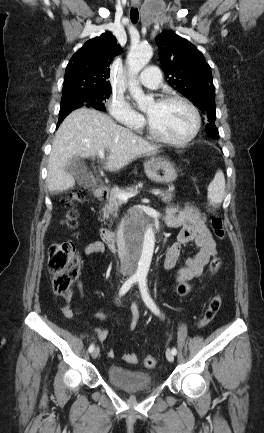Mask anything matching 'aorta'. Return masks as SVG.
<instances>
[{"instance_id": "762f6f07", "label": "aorta", "mask_w": 264, "mask_h": 433, "mask_svg": "<svg viewBox=\"0 0 264 433\" xmlns=\"http://www.w3.org/2000/svg\"><path fill=\"white\" fill-rule=\"evenodd\" d=\"M152 55V47L143 44L132 48L127 56V65L130 74L129 91L140 108L145 107L148 103L152 102V98L144 94L141 87L134 80V77L149 62ZM154 247L155 234L153 228L148 226L139 249V254L137 255L135 277L146 278L151 265Z\"/></svg>"}]
</instances>
